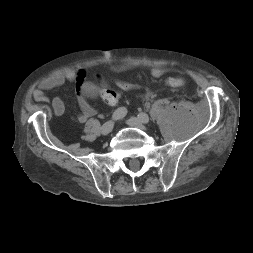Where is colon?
Instances as JSON below:
<instances>
[{
  "mask_svg": "<svg viewBox=\"0 0 253 253\" xmlns=\"http://www.w3.org/2000/svg\"><path fill=\"white\" fill-rule=\"evenodd\" d=\"M97 81L100 84V95L102 97V99L110 105H114L116 103H118V101L120 100V95L115 92L113 89L110 88V86L102 79L101 76H97ZM167 84L171 87H181L184 85V79L180 76H171L166 80ZM112 84L117 87L118 89L121 90H126V91H132V90H140L141 87L136 85V84H132L129 82H126L124 80L121 79H114L112 81Z\"/></svg>",
  "mask_w": 253,
  "mask_h": 253,
  "instance_id": "obj_1",
  "label": "colon"
}]
</instances>
